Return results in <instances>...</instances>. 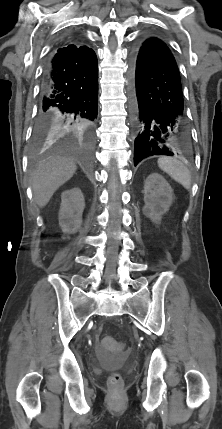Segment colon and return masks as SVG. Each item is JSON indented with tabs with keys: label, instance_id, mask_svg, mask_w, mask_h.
Masks as SVG:
<instances>
[{
	"label": "colon",
	"instance_id": "5ec220e1",
	"mask_svg": "<svg viewBox=\"0 0 222 429\" xmlns=\"http://www.w3.org/2000/svg\"><path fill=\"white\" fill-rule=\"evenodd\" d=\"M101 344L111 351H121L124 348L121 342L113 339L109 335L103 336L101 340ZM122 383H123L122 377L118 373L111 374L108 379V384L110 388L114 390H118L122 386Z\"/></svg>",
	"mask_w": 222,
	"mask_h": 429
}]
</instances>
